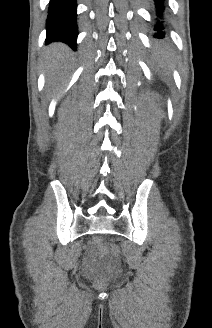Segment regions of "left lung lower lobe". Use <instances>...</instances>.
I'll use <instances>...</instances> for the list:
<instances>
[{"mask_svg":"<svg viewBox=\"0 0 212 328\" xmlns=\"http://www.w3.org/2000/svg\"><path fill=\"white\" fill-rule=\"evenodd\" d=\"M156 9L158 14L162 15V12L164 10V0H154ZM154 30L156 31L154 37L155 38H164L165 32L163 22L158 21L157 24L154 26Z\"/></svg>","mask_w":212,"mask_h":328,"instance_id":"1","label":"left lung lower lobe"}]
</instances>
